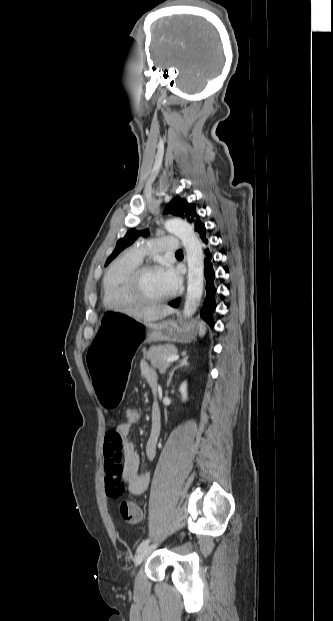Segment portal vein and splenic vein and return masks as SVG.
Segmentation results:
<instances>
[{
	"label": "portal vein and splenic vein",
	"instance_id": "1",
	"mask_svg": "<svg viewBox=\"0 0 333 621\" xmlns=\"http://www.w3.org/2000/svg\"><path fill=\"white\" fill-rule=\"evenodd\" d=\"M178 358H179V355L174 354V355L167 357L164 361L170 363V362L176 361Z\"/></svg>",
	"mask_w": 333,
	"mask_h": 621
}]
</instances>
